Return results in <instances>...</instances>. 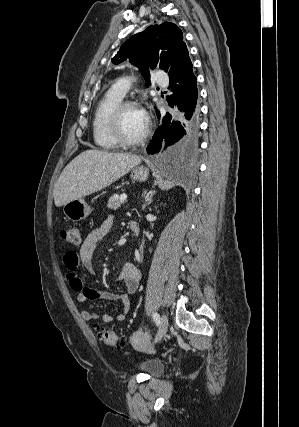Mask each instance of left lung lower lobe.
Instances as JSON below:
<instances>
[{
	"instance_id": "0a47b994",
	"label": "left lung lower lobe",
	"mask_w": 299,
	"mask_h": 427,
	"mask_svg": "<svg viewBox=\"0 0 299 427\" xmlns=\"http://www.w3.org/2000/svg\"><path fill=\"white\" fill-rule=\"evenodd\" d=\"M169 88L172 95L167 102L179 116L172 120L169 113L153 136L147 148L148 154L160 151L166 160H191L198 150L199 110L197 106L198 89L196 76L185 42H182L169 70ZM158 117L160 116L157 110Z\"/></svg>"
}]
</instances>
